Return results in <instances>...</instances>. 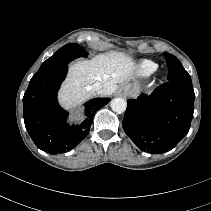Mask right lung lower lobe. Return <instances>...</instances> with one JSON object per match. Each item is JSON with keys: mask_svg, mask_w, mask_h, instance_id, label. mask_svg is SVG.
<instances>
[{"mask_svg": "<svg viewBox=\"0 0 211 211\" xmlns=\"http://www.w3.org/2000/svg\"><path fill=\"white\" fill-rule=\"evenodd\" d=\"M67 73V65L38 71L23 97L25 127L41 150L65 153L76 147L89 133L94 114L110 98H95L85 105L86 120L80 125L67 123L68 113L57 102V91Z\"/></svg>", "mask_w": 211, "mask_h": 211, "instance_id": "1", "label": "right lung lower lobe"}]
</instances>
